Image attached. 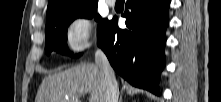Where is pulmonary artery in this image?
I'll use <instances>...</instances> for the list:
<instances>
[{"label":"pulmonary artery","instance_id":"1","mask_svg":"<svg viewBox=\"0 0 221 102\" xmlns=\"http://www.w3.org/2000/svg\"><path fill=\"white\" fill-rule=\"evenodd\" d=\"M106 3H107L109 6L113 7V6L116 4V0H106Z\"/></svg>","mask_w":221,"mask_h":102}]
</instances>
